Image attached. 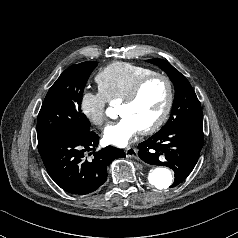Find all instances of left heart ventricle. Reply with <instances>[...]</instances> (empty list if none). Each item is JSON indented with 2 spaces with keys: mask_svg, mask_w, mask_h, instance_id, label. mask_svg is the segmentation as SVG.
Wrapping results in <instances>:
<instances>
[{
  "mask_svg": "<svg viewBox=\"0 0 238 238\" xmlns=\"http://www.w3.org/2000/svg\"><path fill=\"white\" fill-rule=\"evenodd\" d=\"M167 100V88L162 80L150 82L142 91L138 100L131 105H121V116L131 117L144 129L151 125L161 114Z\"/></svg>",
  "mask_w": 238,
  "mask_h": 238,
  "instance_id": "1",
  "label": "left heart ventricle"
}]
</instances>
